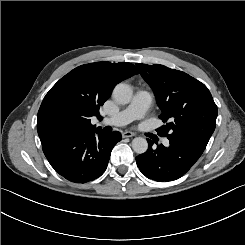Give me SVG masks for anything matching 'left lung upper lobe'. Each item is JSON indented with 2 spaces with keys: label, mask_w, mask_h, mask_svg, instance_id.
<instances>
[{
  "label": "left lung upper lobe",
  "mask_w": 245,
  "mask_h": 245,
  "mask_svg": "<svg viewBox=\"0 0 245 245\" xmlns=\"http://www.w3.org/2000/svg\"><path fill=\"white\" fill-rule=\"evenodd\" d=\"M143 79L152 88L166 125L160 136L206 148L215 130L217 106L207 87L188 74L155 64L137 63Z\"/></svg>",
  "instance_id": "obj_1"
}]
</instances>
